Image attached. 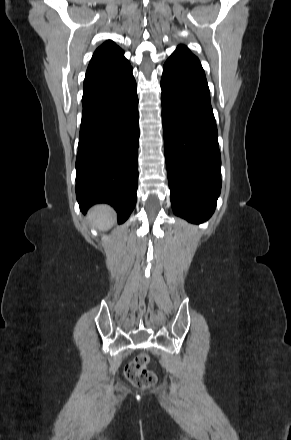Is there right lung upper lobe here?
Masks as SVG:
<instances>
[{"mask_svg": "<svg viewBox=\"0 0 291 440\" xmlns=\"http://www.w3.org/2000/svg\"><path fill=\"white\" fill-rule=\"evenodd\" d=\"M130 66L124 51L108 40L94 52L86 71V77H94L119 72Z\"/></svg>", "mask_w": 291, "mask_h": 440, "instance_id": "obj_1", "label": "right lung upper lobe"}]
</instances>
